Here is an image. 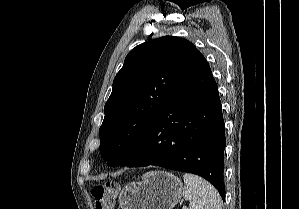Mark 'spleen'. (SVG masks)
<instances>
[{
	"instance_id": "spleen-1",
	"label": "spleen",
	"mask_w": 299,
	"mask_h": 209,
	"mask_svg": "<svg viewBox=\"0 0 299 209\" xmlns=\"http://www.w3.org/2000/svg\"><path fill=\"white\" fill-rule=\"evenodd\" d=\"M183 180V196L190 201V209H221V197L209 182L191 173H185Z\"/></svg>"
}]
</instances>
